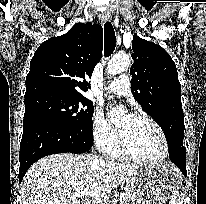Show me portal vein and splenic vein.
I'll return each mask as SVG.
<instances>
[{"label": "portal vein and splenic vein", "mask_w": 206, "mask_h": 204, "mask_svg": "<svg viewBox=\"0 0 206 204\" xmlns=\"http://www.w3.org/2000/svg\"><path fill=\"white\" fill-rule=\"evenodd\" d=\"M75 195L76 196H91V197H95V198H102L103 195H101L100 193H94L93 191H88L87 189H81V190H76L75 191ZM125 198V193H121L120 194V200Z\"/></svg>", "instance_id": "1"}]
</instances>
